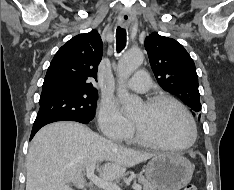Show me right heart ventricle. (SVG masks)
Returning a JSON list of instances; mask_svg holds the SVG:
<instances>
[{"mask_svg": "<svg viewBox=\"0 0 234 190\" xmlns=\"http://www.w3.org/2000/svg\"><path fill=\"white\" fill-rule=\"evenodd\" d=\"M127 142H137V138L134 135L133 129L124 138Z\"/></svg>", "mask_w": 234, "mask_h": 190, "instance_id": "right-heart-ventricle-1", "label": "right heart ventricle"}]
</instances>
